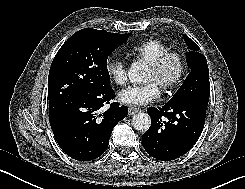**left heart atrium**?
I'll return each mask as SVG.
<instances>
[{
	"instance_id": "left-heart-atrium-1",
	"label": "left heart atrium",
	"mask_w": 245,
	"mask_h": 189,
	"mask_svg": "<svg viewBox=\"0 0 245 189\" xmlns=\"http://www.w3.org/2000/svg\"><path fill=\"white\" fill-rule=\"evenodd\" d=\"M160 95L159 86L149 81L144 85H130L119 93V99L127 105L139 106L155 100Z\"/></svg>"
}]
</instances>
